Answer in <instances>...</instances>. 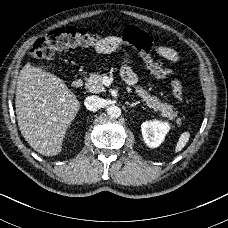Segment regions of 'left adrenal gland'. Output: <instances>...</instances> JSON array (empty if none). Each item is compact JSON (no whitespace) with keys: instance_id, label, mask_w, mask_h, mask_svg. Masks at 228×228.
I'll list each match as a JSON object with an SVG mask.
<instances>
[{"instance_id":"obj_1","label":"left adrenal gland","mask_w":228,"mask_h":228,"mask_svg":"<svg viewBox=\"0 0 228 228\" xmlns=\"http://www.w3.org/2000/svg\"><path fill=\"white\" fill-rule=\"evenodd\" d=\"M139 103H140L139 101H136V102L130 103L129 105H130V107H134V106H136Z\"/></svg>"}]
</instances>
